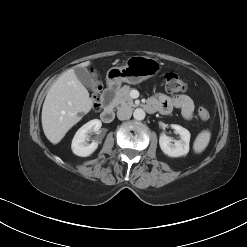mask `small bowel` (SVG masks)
Listing matches in <instances>:
<instances>
[{
	"mask_svg": "<svg viewBox=\"0 0 247 247\" xmlns=\"http://www.w3.org/2000/svg\"><path fill=\"white\" fill-rule=\"evenodd\" d=\"M147 107L150 110H158L162 114H169L173 108H178L187 120L192 119L194 113V102L186 94L174 96L158 94L149 100Z\"/></svg>",
	"mask_w": 247,
	"mask_h": 247,
	"instance_id": "small-bowel-1",
	"label": "small bowel"
}]
</instances>
